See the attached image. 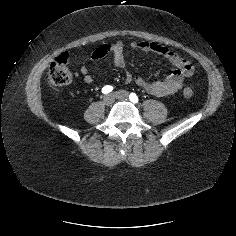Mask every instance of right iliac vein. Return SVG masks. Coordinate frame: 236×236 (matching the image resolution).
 <instances>
[{"label": "right iliac vein", "mask_w": 236, "mask_h": 236, "mask_svg": "<svg viewBox=\"0 0 236 236\" xmlns=\"http://www.w3.org/2000/svg\"><path fill=\"white\" fill-rule=\"evenodd\" d=\"M114 102V96L112 94L105 95L103 98V103L106 106H111Z\"/></svg>", "instance_id": "right-iliac-vein-1"}]
</instances>
